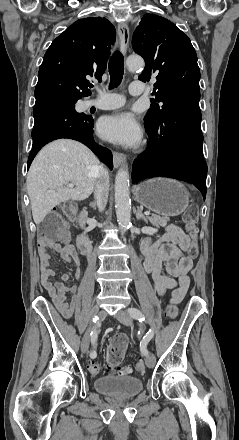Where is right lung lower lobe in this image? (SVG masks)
<instances>
[{
	"instance_id": "1",
	"label": "right lung lower lobe",
	"mask_w": 239,
	"mask_h": 440,
	"mask_svg": "<svg viewBox=\"0 0 239 440\" xmlns=\"http://www.w3.org/2000/svg\"><path fill=\"white\" fill-rule=\"evenodd\" d=\"M33 146L28 167L38 151L47 143L69 138L88 146L110 169H113L111 151L93 140V118L75 111V103L60 98L36 100L33 111Z\"/></svg>"
}]
</instances>
